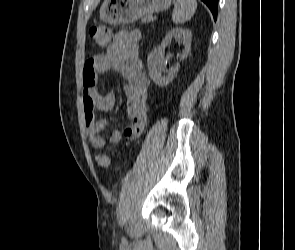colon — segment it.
Returning <instances> with one entry per match:
<instances>
[{"mask_svg":"<svg viewBox=\"0 0 295 250\" xmlns=\"http://www.w3.org/2000/svg\"><path fill=\"white\" fill-rule=\"evenodd\" d=\"M91 39L100 46H106L111 42V31L108 27L102 25L92 26L89 30ZM97 162L101 167L108 165V158L105 155H99Z\"/></svg>","mask_w":295,"mask_h":250,"instance_id":"colon-1","label":"colon"}]
</instances>
